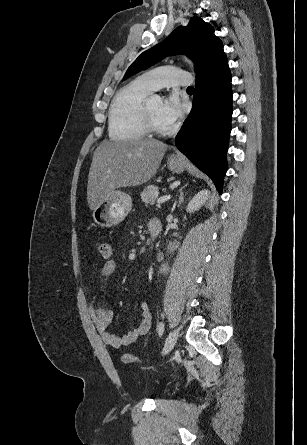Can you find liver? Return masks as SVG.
Instances as JSON below:
<instances>
[{
    "label": "liver",
    "instance_id": "1",
    "mask_svg": "<svg viewBox=\"0 0 307 445\" xmlns=\"http://www.w3.org/2000/svg\"><path fill=\"white\" fill-rule=\"evenodd\" d=\"M167 150L156 138L110 142L102 140L94 150L87 184V202L94 210L113 190L137 186L152 178Z\"/></svg>",
    "mask_w": 307,
    "mask_h": 445
}]
</instances>
